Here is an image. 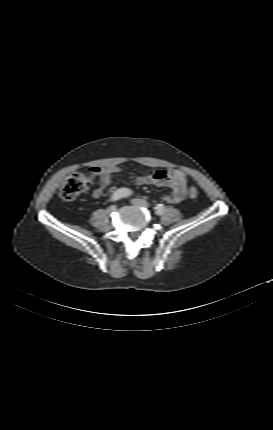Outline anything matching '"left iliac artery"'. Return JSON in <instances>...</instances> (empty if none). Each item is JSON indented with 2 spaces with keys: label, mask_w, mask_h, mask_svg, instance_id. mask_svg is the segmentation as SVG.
I'll return each instance as SVG.
<instances>
[{
  "label": "left iliac artery",
  "mask_w": 273,
  "mask_h": 430,
  "mask_svg": "<svg viewBox=\"0 0 273 430\" xmlns=\"http://www.w3.org/2000/svg\"><path fill=\"white\" fill-rule=\"evenodd\" d=\"M164 210H165V207H164V205H163V204H158V205L155 207V213H156L157 215H162V214L164 213Z\"/></svg>",
  "instance_id": "obj_1"
}]
</instances>
